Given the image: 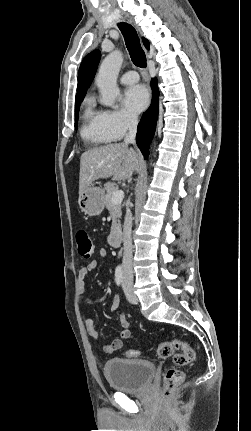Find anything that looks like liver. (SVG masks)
I'll return each instance as SVG.
<instances>
[{
  "mask_svg": "<svg viewBox=\"0 0 251 431\" xmlns=\"http://www.w3.org/2000/svg\"><path fill=\"white\" fill-rule=\"evenodd\" d=\"M140 154L125 143H112L84 152L80 159L79 195L98 179H129L139 169Z\"/></svg>",
  "mask_w": 251,
  "mask_h": 431,
  "instance_id": "obj_1",
  "label": "liver"
}]
</instances>
